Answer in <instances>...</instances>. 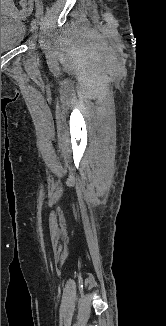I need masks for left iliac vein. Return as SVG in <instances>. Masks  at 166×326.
Instances as JSON below:
<instances>
[{"label":"left iliac vein","mask_w":166,"mask_h":326,"mask_svg":"<svg viewBox=\"0 0 166 326\" xmlns=\"http://www.w3.org/2000/svg\"><path fill=\"white\" fill-rule=\"evenodd\" d=\"M31 31L33 33V38L36 39L37 38V21L34 18L31 21Z\"/></svg>","instance_id":"4c4485c4"}]
</instances>
